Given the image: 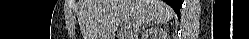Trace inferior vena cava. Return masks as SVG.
Wrapping results in <instances>:
<instances>
[{"label": "inferior vena cava", "instance_id": "1", "mask_svg": "<svg viewBox=\"0 0 249 39\" xmlns=\"http://www.w3.org/2000/svg\"><path fill=\"white\" fill-rule=\"evenodd\" d=\"M140 26H142L141 20L137 19V21L133 25V29H134L135 33H134V35H131V39H134L136 37V33H137L138 29L140 28Z\"/></svg>", "mask_w": 249, "mask_h": 39}]
</instances>
